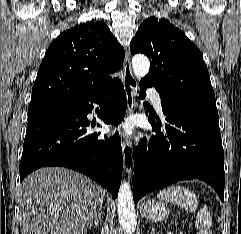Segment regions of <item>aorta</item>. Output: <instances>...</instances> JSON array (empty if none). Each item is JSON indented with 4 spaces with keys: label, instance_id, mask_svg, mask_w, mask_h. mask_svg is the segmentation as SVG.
<instances>
[{
    "label": "aorta",
    "instance_id": "aorta-1",
    "mask_svg": "<svg viewBox=\"0 0 241 234\" xmlns=\"http://www.w3.org/2000/svg\"><path fill=\"white\" fill-rule=\"evenodd\" d=\"M132 67L136 77L142 78L150 69L149 59L141 54L132 58ZM118 218L122 229L127 234H133L136 229V213L132 191L128 182H122L118 193Z\"/></svg>",
    "mask_w": 241,
    "mask_h": 234
}]
</instances>
